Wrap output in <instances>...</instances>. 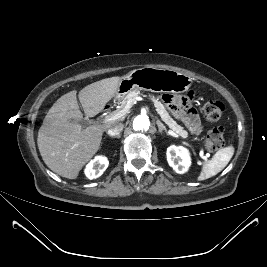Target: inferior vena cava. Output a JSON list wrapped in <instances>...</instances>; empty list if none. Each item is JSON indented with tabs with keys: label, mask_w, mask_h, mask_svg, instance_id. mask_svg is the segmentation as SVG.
I'll list each match as a JSON object with an SVG mask.
<instances>
[{
	"label": "inferior vena cava",
	"mask_w": 267,
	"mask_h": 267,
	"mask_svg": "<svg viewBox=\"0 0 267 267\" xmlns=\"http://www.w3.org/2000/svg\"><path fill=\"white\" fill-rule=\"evenodd\" d=\"M123 127L122 123H114L109 127L107 134L110 136H117L122 132Z\"/></svg>",
	"instance_id": "602c4592"
}]
</instances>
